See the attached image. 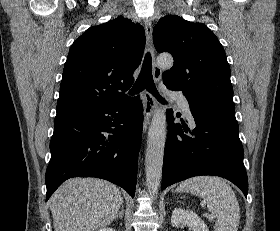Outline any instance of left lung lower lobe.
Masks as SVG:
<instances>
[{
  "instance_id": "1",
  "label": "left lung lower lobe",
  "mask_w": 280,
  "mask_h": 231,
  "mask_svg": "<svg viewBox=\"0 0 280 231\" xmlns=\"http://www.w3.org/2000/svg\"><path fill=\"white\" fill-rule=\"evenodd\" d=\"M189 105L196 123L192 132L184 123L183 129L181 124L173 123V113L167 111L161 189L190 177L213 175L230 180L247 197L248 179L235 112Z\"/></svg>"
}]
</instances>
